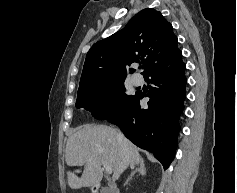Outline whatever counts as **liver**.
I'll return each mask as SVG.
<instances>
[{"instance_id": "obj_1", "label": "liver", "mask_w": 237, "mask_h": 193, "mask_svg": "<svg viewBox=\"0 0 237 193\" xmlns=\"http://www.w3.org/2000/svg\"><path fill=\"white\" fill-rule=\"evenodd\" d=\"M129 165L143 161L138 148L125 138ZM65 159L68 166H84L81 177L67 172L68 185L72 189L90 187L100 183L103 177L102 164L107 163L113 171V181L118 180L122 163V142L118 132L107 125L84 124L67 140Z\"/></svg>"}]
</instances>
